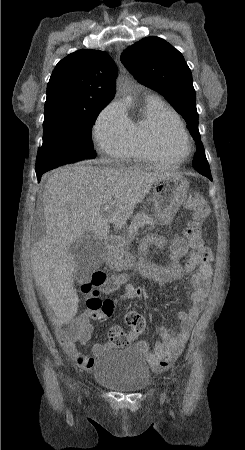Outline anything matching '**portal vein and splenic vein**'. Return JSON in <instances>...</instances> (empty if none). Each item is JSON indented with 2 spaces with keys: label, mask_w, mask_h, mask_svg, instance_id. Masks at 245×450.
Masks as SVG:
<instances>
[{
  "label": "portal vein and splenic vein",
  "mask_w": 245,
  "mask_h": 450,
  "mask_svg": "<svg viewBox=\"0 0 245 450\" xmlns=\"http://www.w3.org/2000/svg\"><path fill=\"white\" fill-rule=\"evenodd\" d=\"M104 211L110 213L111 212V206L110 205H106L104 207Z\"/></svg>",
  "instance_id": "portal-vein-and-splenic-vein-1"
}]
</instances>
